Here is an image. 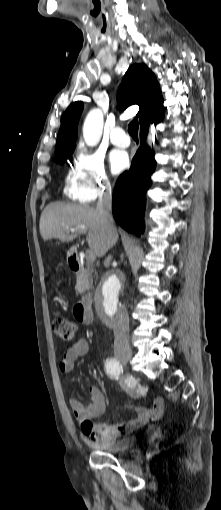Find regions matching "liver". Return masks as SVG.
Instances as JSON below:
<instances>
[{"label": "liver", "mask_w": 221, "mask_h": 510, "mask_svg": "<svg viewBox=\"0 0 221 510\" xmlns=\"http://www.w3.org/2000/svg\"><path fill=\"white\" fill-rule=\"evenodd\" d=\"M81 226L88 231L86 242L97 257L104 256L118 239L117 231L108 233L96 208L89 205L52 202L43 210L39 224L43 240L59 239L61 242L72 241L80 233Z\"/></svg>", "instance_id": "6515ba94"}]
</instances>
